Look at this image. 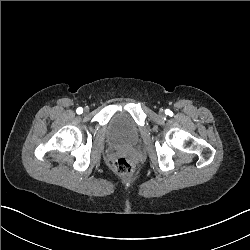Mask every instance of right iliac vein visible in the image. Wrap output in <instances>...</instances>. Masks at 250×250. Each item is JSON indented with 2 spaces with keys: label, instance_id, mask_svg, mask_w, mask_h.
<instances>
[{
  "label": "right iliac vein",
  "instance_id": "1",
  "mask_svg": "<svg viewBox=\"0 0 250 250\" xmlns=\"http://www.w3.org/2000/svg\"><path fill=\"white\" fill-rule=\"evenodd\" d=\"M85 111L87 112V111H88V108H85Z\"/></svg>",
  "mask_w": 250,
  "mask_h": 250
}]
</instances>
